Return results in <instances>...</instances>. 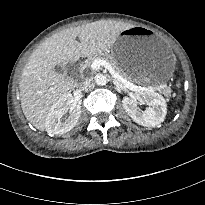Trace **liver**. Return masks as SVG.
Listing matches in <instances>:
<instances>
[{
    "label": "liver",
    "instance_id": "obj_1",
    "mask_svg": "<svg viewBox=\"0 0 205 205\" xmlns=\"http://www.w3.org/2000/svg\"><path fill=\"white\" fill-rule=\"evenodd\" d=\"M132 26L117 21H96L63 30L38 46L19 82L21 107L27 120L44 131L53 104L75 88V82L56 72L55 66L108 51L118 35Z\"/></svg>",
    "mask_w": 205,
    "mask_h": 205
}]
</instances>
